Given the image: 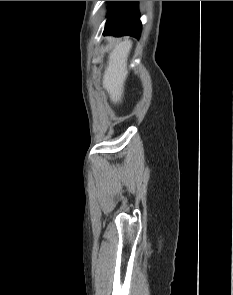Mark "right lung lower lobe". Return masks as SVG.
Wrapping results in <instances>:
<instances>
[{
    "mask_svg": "<svg viewBox=\"0 0 233 295\" xmlns=\"http://www.w3.org/2000/svg\"><path fill=\"white\" fill-rule=\"evenodd\" d=\"M138 1H113L109 6L104 35L140 37L141 22Z\"/></svg>",
    "mask_w": 233,
    "mask_h": 295,
    "instance_id": "1",
    "label": "right lung lower lobe"
}]
</instances>
